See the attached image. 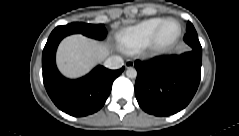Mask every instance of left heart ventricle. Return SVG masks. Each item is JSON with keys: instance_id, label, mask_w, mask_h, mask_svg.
<instances>
[{"instance_id": "obj_1", "label": "left heart ventricle", "mask_w": 239, "mask_h": 136, "mask_svg": "<svg viewBox=\"0 0 239 136\" xmlns=\"http://www.w3.org/2000/svg\"><path fill=\"white\" fill-rule=\"evenodd\" d=\"M177 34L178 26L175 23H171L164 28L160 37V41L163 44H168L177 37Z\"/></svg>"}]
</instances>
